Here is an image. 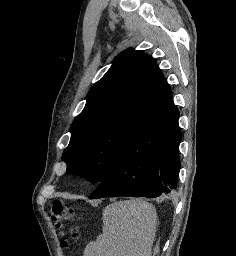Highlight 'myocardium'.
Masks as SVG:
<instances>
[{
  "instance_id": "f54148a6",
  "label": "myocardium",
  "mask_w": 236,
  "mask_h": 256,
  "mask_svg": "<svg viewBox=\"0 0 236 256\" xmlns=\"http://www.w3.org/2000/svg\"><path fill=\"white\" fill-rule=\"evenodd\" d=\"M95 175H96V171H94V170H91V171H89V172L86 173V177H87L88 179L94 178Z\"/></svg>"
}]
</instances>
